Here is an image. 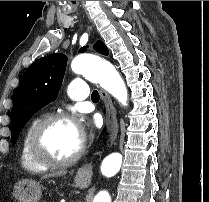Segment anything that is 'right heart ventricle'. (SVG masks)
<instances>
[{
  "label": "right heart ventricle",
  "instance_id": "right-heart-ventricle-1",
  "mask_svg": "<svg viewBox=\"0 0 209 202\" xmlns=\"http://www.w3.org/2000/svg\"><path fill=\"white\" fill-rule=\"evenodd\" d=\"M39 120H40L39 118L33 119L25 128V130L22 134V138H21L20 163H21L22 167L29 172H41V171L45 170V168L38 165L32 159V157L29 154V150H28V144H29V138H30L31 132Z\"/></svg>",
  "mask_w": 209,
  "mask_h": 202
}]
</instances>
